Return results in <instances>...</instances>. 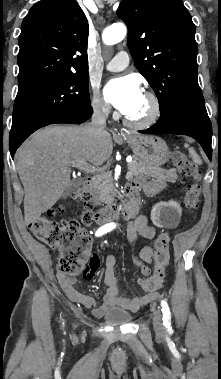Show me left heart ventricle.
Masks as SVG:
<instances>
[{"mask_svg": "<svg viewBox=\"0 0 221 379\" xmlns=\"http://www.w3.org/2000/svg\"><path fill=\"white\" fill-rule=\"evenodd\" d=\"M149 111H150V103L148 99L143 95L137 108L132 113L127 115V117L133 120H139L146 117Z\"/></svg>", "mask_w": 221, "mask_h": 379, "instance_id": "1", "label": "left heart ventricle"}]
</instances>
